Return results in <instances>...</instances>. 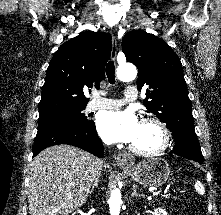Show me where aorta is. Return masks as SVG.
<instances>
[{
    "mask_svg": "<svg viewBox=\"0 0 221 215\" xmlns=\"http://www.w3.org/2000/svg\"><path fill=\"white\" fill-rule=\"evenodd\" d=\"M137 69L133 64H124L117 68V77L120 81L128 82L135 79ZM122 204V195L119 189H114L109 198V207L111 215H119Z\"/></svg>",
    "mask_w": 221,
    "mask_h": 215,
    "instance_id": "1",
    "label": "aorta"
}]
</instances>
